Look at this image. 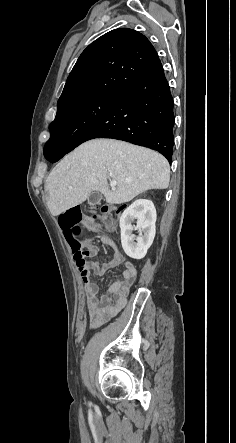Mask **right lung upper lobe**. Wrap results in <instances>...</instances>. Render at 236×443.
I'll return each instance as SVG.
<instances>
[{
  "mask_svg": "<svg viewBox=\"0 0 236 443\" xmlns=\"http://www.w3.org/2000/svg\"><path fill=\"white\" fill-rule=\"evenodd\" d=\"M159 59L141 33L119 28L91 43L69 74L58 100L57 113L98 94L126 90Z\"/></svg>",
  "mask_w": 236,
  "mask_h": 443,
  "instance_id": "1",
  "label": "right lung upper lobe"
}]
</instances>
